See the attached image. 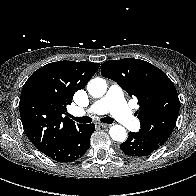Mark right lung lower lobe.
I'll use <instances>...</instances> for the list:
<instances>
[{"label":"right lung lower lobe","mask_w":196,"mask_h":196,"mask_svg":"<svg viewBox=\"0 0 196 196\" xmlns=\"http://www.w3.org/2000/svg\"><path fill=\"white\" fill-rule=\"evenodd\" d=\"M94 131L95 124L79 125L42 153L58 162L74 161L89 149Z\"/></svg>","instance_id":"1"}]
</instances>
